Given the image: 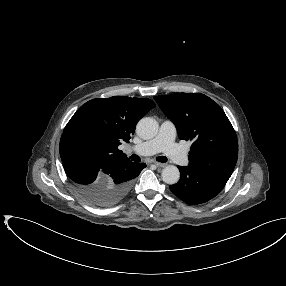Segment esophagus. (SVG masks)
<instances>
[{"label": "esophagus", "instance_id": "1", "mask_svg": "<svg viewBox=\"0 0 286 286\" xmlns=\"http://www.w3.org/2000/svg\"><path fill=\"white\" fill-rule=\"evenodd\" d=\"M154 164L157 166V167H164L165 164L164 163H159V162H154Z\"/></svg>", "mask_w": 286, "mask_h": 286}]
</instances>
